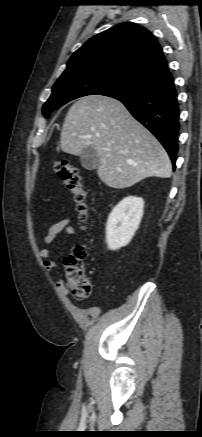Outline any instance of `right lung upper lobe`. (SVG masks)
<instances>
[{
	"label": "right lung upper lobe",
	"mask_w": 202,
	"mask_h": 437,
	"mask_svg": "<svg viewBox=\"0 0 202 437\" xmlns=\"http://www.w3.org/2000/svg\"><path fill=\"white\" fill-rule=\"evenodd\" d=\"M80 69L113 71L151 82L168 68L154 36L125 22L90 38L71 56L63 73Z\"/></svg>",
	"instance_id": "right-lung-upper-lobe-1"
}]
</instances>
